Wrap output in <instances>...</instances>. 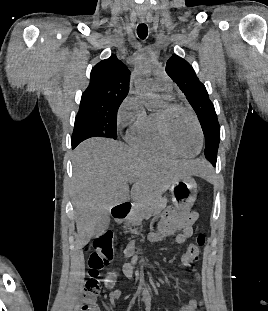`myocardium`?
<instances>
[{
  "label": "myocardium",
  "instance_id": "f54148a6",
  "mask_svg": "<svg viewBox=\"0 0 268 311\" xmlns=\"http://www.w3.org/2000/svg\"><path fill=\"white\" fill-rule=\"evenodd\" d=\"M184 111L186 112L194 121L198 134H199V148L196 153L194 154H186L182 151H180L172 142L170 139L169 133H168V118L174 111ZM158 127H159V133L163 140V142L166 144V146L175 154L185 157V158H193L201 152L203 145H204V133L201 127V124L199 122V119L197 118L196 114L188 107L183 106L181 104L177 103H165L162 109L158 111Z\"/></svg>",
  "mask_w": 268,
  "mask_h": 311
}]
</instances>
